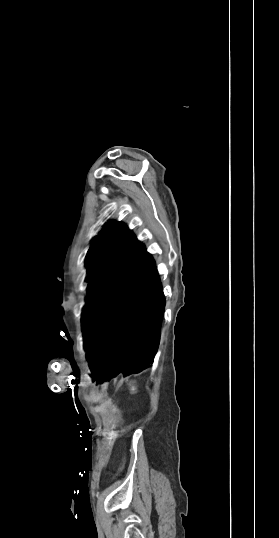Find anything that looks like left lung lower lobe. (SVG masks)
I'll list each match as a JSON object with an SVG mask.
<instances>
[{
    "instance_id": "obj_1",
    "label": "left lung lower lobe",
    "mask_w": 279,
    "mask_h": 538,
    "mask_svg": "<svg viewBox=\"0 0 279 538\" xmlns=\"http://www.w3.org/2000/svg\"><path fill=\"white\" fill-rule=\"evenodd\" d=\"M164 307L155 262L141 245L83 310L85 348L95 378L125 377L153 363Z\"/></svg>"
}]
</instances>
